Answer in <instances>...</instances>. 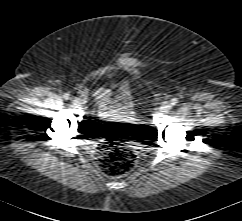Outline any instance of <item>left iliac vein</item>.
Segmentation results:
<instances>
[{
	"label": "left iliac vein",
	"mask_w": 242,
	"mask_h": 221,
	"mask_svg": "<svg viewBox=\"0 0 242 221\" xmlns=\"http://www.w3.org/2000/svg\"><path fill=\"white\" fill-rule=\"evenodd\" d=\"M171 106L169 104H164L162 105V107L160 108L161 111L165 112L167 111Z\"/></svg>",
	"instance_id": "obj_1"
}]
</instances>
